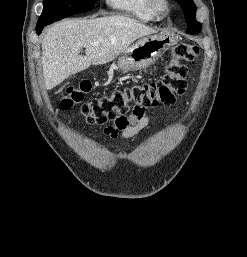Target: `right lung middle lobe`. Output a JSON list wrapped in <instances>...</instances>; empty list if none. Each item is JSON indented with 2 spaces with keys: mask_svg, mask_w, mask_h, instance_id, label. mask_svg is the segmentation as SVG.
<instances>
[{
  "mask_svg": "<svg viewBox=\"0 0 247 257\" xmlns=\"http://www.w3.org/2000/svg\"><path fill=\"white\" fill-rule=\"evenodd\" d=\"M95 0H44L37 24H51L68 16L94 8Z\"/></svg>",
  "mask_w": 247,
  "mask_h": 257,
  "instance_id": "obj_1",
  "label": "right lung middle lobe"
}]
</instances>
